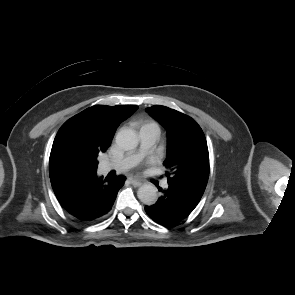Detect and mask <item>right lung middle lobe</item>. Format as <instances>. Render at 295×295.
I'll list each match as a JSON object with an SVG mask.
<instances>
[{
  "label": "right lung middle lobe",
  "mask_w": 295,
  "mask_h": 295,
  "mask_svg": "<svg viewBox=\"0 0 295 295\" xmlns=\"http://www.w3.org/2000/svg\"><path fill=\"white\" fill-rule=\"evenodd\" d=\"M96 170H97V163H95V164L91 167V169H90L91 174L95 173ZM89 175H90V174H89ZM78 176H87V174H85V175H78Z\"/></svg>",
  "instance_id": "right-lung-middle-lobe-1"
}]
</instances>
